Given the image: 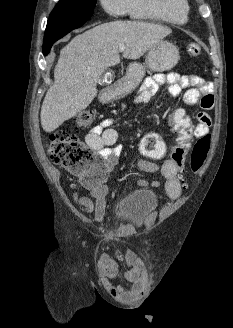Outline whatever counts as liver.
<instances>
[{
    "instance_id": "liver-1",
    "label": "liver",
    "mask_w": 233,
    "mask_h": 328,
    "mask_svg": "<svg viewBox=\"0 0 233 328\" xmlns=\"http://www.w3.org/2000/svg\"><path fill=\"white\" fill-rule=\"evenodd\" d=\"M171 32L153 23L112 21L74 37L60 52L54 84L41 107L44 131L53 132L89 106L104 71L120 63V45L125 46L123 57L135 60Z\"/></svg>"
}]
</instances>
